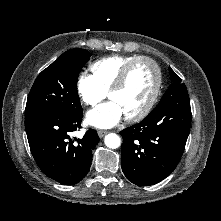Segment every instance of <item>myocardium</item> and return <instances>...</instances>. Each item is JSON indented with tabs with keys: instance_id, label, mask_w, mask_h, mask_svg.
Wrapping results in <instances>:
<instances>
[{
	"instance_id": "obj_1",
	"label": "myocardium",
	"mask_w": 221,
	"mask_h": 221,
	"mask_svg": "<svg viewBox=\"0 0 221 221\" xmlns=\"http://www.w3.org/2000/svg\"><path fill=\"white\" fill-rule=\"evenodd\" d=\"M138 62H147L152 65V67L155 70L156 73V81H155V86L153 89V92L145 104V106L136 114L131 115V116H125V119L128 122H138L142 119H144L153 109L159 95L161 92L162 88V83H163V76H162V70L159 66V64L152 59L151 57L148 56H137L133 60H131L129 63H127L123 69L120 71L119 75L117 76L115 82L111 86V88L108 91V97L116 91H119L120 89L123 88L125 85L127 78L129 76L130 71L132 68L138 63Z\"/></svg>"
}]
</instances>
